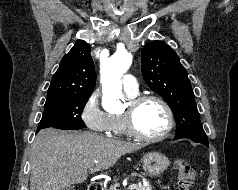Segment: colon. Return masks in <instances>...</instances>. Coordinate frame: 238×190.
Instances as JSON below:
<instances>
[{
	"label": "colon",
	"mask_w": 238,
	"mask_h": 190,
	"mask_svg": "<svg viewBox=\"0 0 238 190\" xmlns=\"http://www.w3.org/2000/svg\"><path fill=\"white\" fill-rule=\"evenodd\" d=\"M175 169L177 172L178 190H190L196 177L195 168L187 161L178 160L175 163Z\"/></svg>",
	"instance_id": "colon-1"
}]
</instances>
